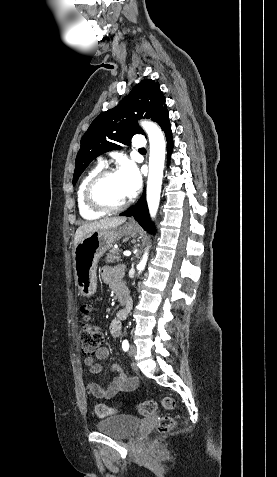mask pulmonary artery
<instances>
[{
  "label": "pulmonary artery",
  "instance_id": "e3ab8cb5",
  "mask_svg": "<svg viewBox=\"0 0 277 477\" xmlns=\"http://www.w3.org/2000/svg\"><path fill=\"white\" fill-rule=\"evenodd\" d=\"M144 145H145L144 138L140 135L135 136L133 140V147H135L136 149H141L144 147Z\"/></svg>",
  "mask_w": 277,
  "mask_h": 477
}]
</instances>
